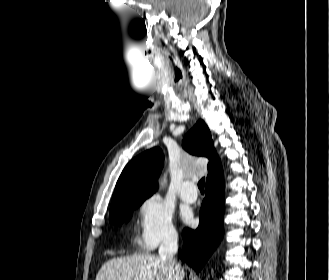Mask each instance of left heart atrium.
<instances>
[{
    "label": "left heart atrium",
    "instance_id": "39dd6f15",
    "mask_svg": "<svg viewBox=\"0 0 329 280\" xmlns=\"http://www.w3.org/2000/svg\"><path fill=\"white\" fill-rule=\"evenodd\" d=\"M182 217H183L184 221H186V222H190L192 219V215L189 211H184L182 214Z\"/></svg>",
    "mask_w": 329,
    "mask_h": 280
}]
</instances>
